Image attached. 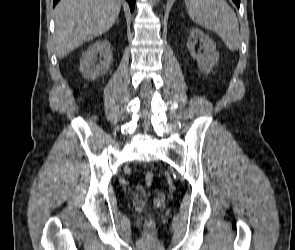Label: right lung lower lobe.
Segmentation results:
<instances>
[{
	"label": "right lung lower lobe",
	"instance_id": "98d812e1",
	"mask_svg": "<svg viewBox=\"0 0 295 250\" xmlns=\"http://www.w3.org/2000/svg\"><path fill=\"white\" fill-rule=\"evenodd\" d=\"M58 1H59V0H54V2H53V6H55V5L57 4ZM127 1H128L129 5H130V9H131V11H133L134 6H135V0H127Z\"/></svg>",
	"mask_w": 295,
	"mask_h": 250
}]
</instances>
